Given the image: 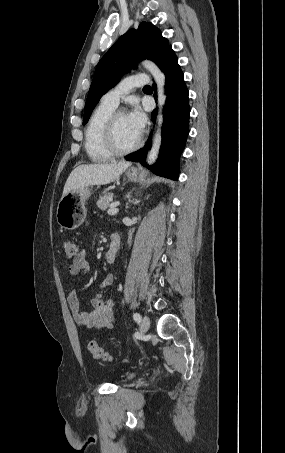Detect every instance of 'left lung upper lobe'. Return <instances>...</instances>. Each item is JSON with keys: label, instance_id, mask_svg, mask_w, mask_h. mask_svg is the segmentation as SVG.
I'll use <instances>...</instances> for the list:
<instances>
[{"label": "left lung upper lobe", "instance_id": "left-lung-upper-lobe-1", "mask_svg": "<svg viewBox=\"0 0 285 453\" xmlns=\"http://www.w3.org/2000/svg\"><path fill=\"white\" fill-rule=\"evenodd\" d=\"M171 45L161 31L151 23L142 22L130 29L107 51L97 64L84 108L85 125L101 96L111 89L120 77L138 61L150 59L158 66Z\"/></svg>", "mask_w": 285, "mask_h": 453}]
</instances>
